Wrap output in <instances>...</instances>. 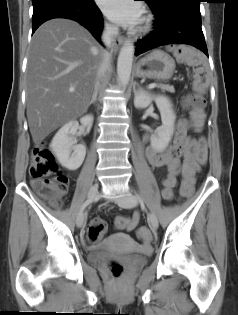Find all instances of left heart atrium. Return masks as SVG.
I'll return each mask as SVG.
<instances>
[{"label":"left heart atrium","instance_id":"39dd6f15","mask_svg":"<svg viewBox=\"0 0 238 315\" xmlns=\"http://www.w3.org/2000/svg\"><path fill=\"white\" fill-rule=\"evenodd\" d=\"M103 13L114 23L134 27L142 17V6L134 0H98Z\"/></svg>","mask_w":238,"mask_h":315}]
</instances>
